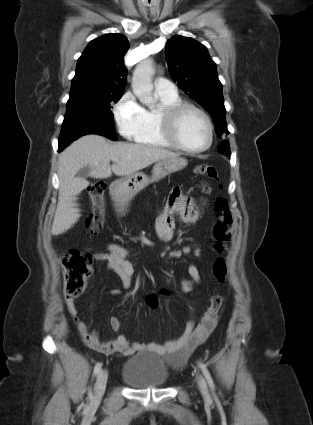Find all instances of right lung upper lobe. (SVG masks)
I'll return each instance as SVG.
<instances>
[{
	"mask_svg": "<svg viewBox=\"0 0 313 425\" xmlns=\"http://www.w3.org/2000/svg\"><path fill=\"white\" fill-rule=\"evenodd\" d=\"M128 49L129 41L118 33L92 40L78 59L70 95L123 92L127 74L123 57Z\"/></svg>",
	"mask_w": 313,
	"mask_h": 425,
	"instance_id": "cb5924a9",
	"label": "right lung upper lobe"
}]
</instances>
